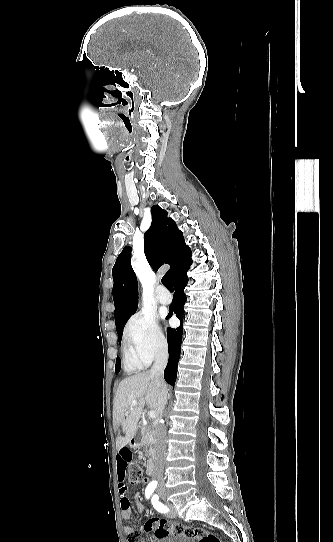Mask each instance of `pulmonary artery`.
Segmentation results:
<instances>
[{"mask_svg": "<svg viewBox=\"0 0 333 542\" xmlns=\"http://www.w3.org/2000/svg\"><path fill=\"white\" fill-rule=\"evenodd\" d=\"M159 302L163 305L171 303V292L165 284H160L157 287Z\"/></svg>", "mask_w": 333, "mask_h": 542, "instance_id": "e3ab8cb5", "label": "pulmonary artery"}]
</instances>
